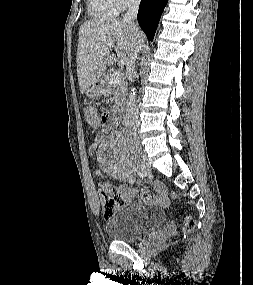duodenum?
<instances>
[{
    "label": "duodenum",
    "instance_id": "1",
    "mask_svg": "<svg viewBox=\"0 0 253 285\" xmlns=\"http://www.w3.org/2000/svg\"><path fill=\"white\" fill-rule=\"evenodd\" d=\"M97 91L101 90V85L97 84L96 85ZM122 118V111L117 110L114 113L110 114V121L112 122L113 125H117Z\"/></svg>",
    "mask_w": 253,
    "mask_h": 285
}]
</instances>
